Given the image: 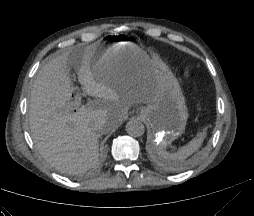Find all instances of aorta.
I'll list each match as a JSON object with an SVG mask.
<instances>
[{"label": "aorta", "mask_w": 254, "mask_h": 216, "mask_svg": "<svg viewBox=\"0 0 254 216\" xmlns=\"http://www.w3.org/2000/svg\"><path fill=\"white\" fill-rule=\"evenodd\" d=\"M126 131L132 137H140L145 132V126L137 119H131L126 124Z\"/></svg>", "instance_id": "aorta-1"}]
</instances>
